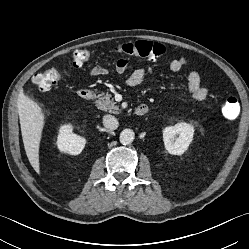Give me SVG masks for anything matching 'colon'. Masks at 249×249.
Masks as SVG:
<instances>
[{
    "mask_svg": "<svg viewBox=\"0 0 249 249\" xmlns=\"http://www.w3.org/2000/svg\"><path fill=\"white\" fill-rule=\"evenodd\" d=\"M115 53L125 56L140 57L151 61H156L164 54V47L159 43H154L147 40H139L129 42L117 46L113 49ZM91 59V53L85 49L76 50L72 55V62L74 66H81ZM64 77L63 71L51 67L42 72L37 73L33 77V82L39 90L49 91L56 86ZM239 109V103L234 98L226 99L221 107L222 113L227 119H232Z\"/></svg>",
    "mask_w": 249,
    "mask_h": 249,
    "instance_id": "5ec220e1",
    "label": "colon"
}]
</instances>
